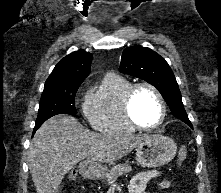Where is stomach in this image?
<instances>
[{
    "label": "stomach",
    "instance_id": "stomach-1",
    "mask_svg": "<svg viewBox=\"0 0 221 193\" xmlns=\"http://www.w3.org/2000/svg\"><path fill=\"white\" fill-rule=\"evenodd\" d=\"M175 142L164 136H149L136 148L137 163L143 167L155 168L168 164L176 155ZM80 172L89 178L103 177L107 167H92L87 163L80 164Z\"/></svg>",
    "mask_w": 221,
    "mask_h": 193
}]
</instances>
